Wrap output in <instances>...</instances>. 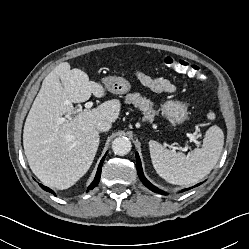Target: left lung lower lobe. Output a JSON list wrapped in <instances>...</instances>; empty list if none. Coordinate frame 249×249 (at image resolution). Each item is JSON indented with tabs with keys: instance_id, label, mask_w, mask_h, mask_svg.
<instances>
[{
	"instance_id": "1",
	"label": "left lung lower lobe",
	"mask_w": 249,
	"mask_h": 249,
	"mask_svg": "<svg viewBox=\"0 0 249 249\" xmlns=\"http://www.w3.org/2000/svg\"><path fill=\"white\" fill-rule=\"evenodd\" d=\"M136 163H137V173L138 176L140 178V180L142 181V183L149 188L150 190H152L153 192L159 193V194H165V192H163L162 190L158 189L157 187H155L154 185H152L145 177L142 171V166H141V161L139 158L138 153H136ZM199 184H197L196 186H198Z\"/></svg>"
}]
</instances>
